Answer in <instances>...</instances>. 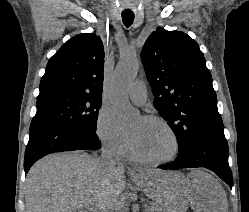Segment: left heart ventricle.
Returning a JSON list of instances; mask_svg holds the SVG:
<instances>
[{"label":"left heart ventricle","mask_w":249,"mask_h":212,"mask_svg":"<svg viewBox=\"0 0 249 212\" xmlns=\"http://www.w3.org/2000/svg\"><path fill=\"white\" fill-rule=\"evenodd\" d=\"M133 150L142 158L161 160L170 157L175 142L169 131L157 122L136 119L127 131Z\"/></svg>","instance_id":"1"}]
</instances>
